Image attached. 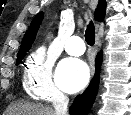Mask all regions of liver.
Masks as SVG:
<instances>
[{"mask_svg": "<svg viewBox=\"0 0 131 115\" xmlns=\"http://www.w3.org/2000/svg\"><path fill=\"white\" fill-rule=\"evenodd\" d=\"M5 113V115H56L51 107L25 102L11 104Z\"/></svg>", "mask_w": 131, "mask_h": 115, "instance_id": "obj_1", "label": "liver"}]
</instances>
